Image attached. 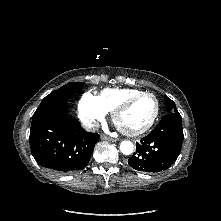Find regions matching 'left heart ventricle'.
I'll return each instance as SVG.
<instances>
[{
    "label": "left heart ventricle",
    "mask_w": 221,
    "mask_h": 221,
    "mask_svg": "<svg viewBox=\"0 0 221 221\" xmlns=\"http://www.w3.org/2000/svg\"><path fill=\"white\" fill-rule=\"evenodd\" d=\"M155 107L156 102L153 97H141L120 114L118 123L126 130H138L151 120Z\"/></svg>",
    "instance_id": "b2bd125f"
}]
</instances>
